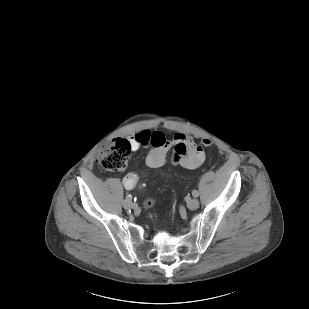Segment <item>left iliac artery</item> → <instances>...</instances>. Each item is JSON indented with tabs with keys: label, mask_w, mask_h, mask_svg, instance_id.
I'll return each mask as SVG.
<instances>
[{
	"label": "left iliac artery",
	"mask_w": 309,
	"mask_h": 309,
	"mask_svg": "<svg viewBox=\"0 0 309 309\" xmlns=\"http://www.w3.org/2000/svg\"><path fill=\"white\" fill-rule=\"evenodd\" d=\"M192 195H193L194 197H198V196H199V192H198L197 190H193V191H192Z\"/></svg>",
	"instance_id": "44dca946"
}]
</instances>
